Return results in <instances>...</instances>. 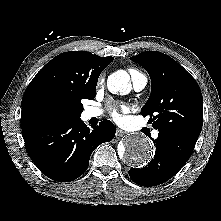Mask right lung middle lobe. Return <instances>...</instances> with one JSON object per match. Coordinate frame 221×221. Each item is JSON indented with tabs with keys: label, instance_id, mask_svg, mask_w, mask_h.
Instances as JSON below:
<instances>
[{
	"label": "right lung middle lobe",
	"instance_id": "1",
	"mask_svg": "<svg viewBox=\"0 0 221 221\" xmlns=\"http://www.w3.org/2000/svg\"><path fill=\"white\" fill-rule=\"evenodd\" d=\"M92 99V98H91ZM83 111V106L81 103V100L78 101V103L76 104V108H75V112H76V118L78 119L80 117V113Z\"/></svg>",
	"mask_w": 221,
	"mask_h": 221
}]
</instances>
